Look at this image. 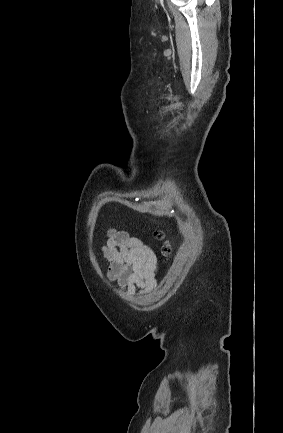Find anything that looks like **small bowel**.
Segmentation results:
<instances>
[{
  "mask_svg": "<svg viewBox=\"0 0 283 433\" xmlns=\"http://www.w3.org/2000/svg\"><path fill=\"white\" fill-rule=\"evenodd\" d=\"M106 235L102 253L108 279L116 281L128 296L152 290L158 270L153 250L125 231L112 229Z\"/></svg>",
  "mask_w": 283,
  "mask_h": 433,
  "instance_id": "1",
  "label": "small bowel"
}]
</instances>
